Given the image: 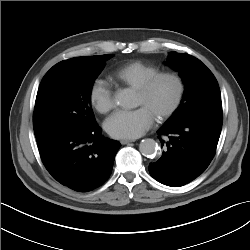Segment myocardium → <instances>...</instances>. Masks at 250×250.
I'll return each mask as SVG.
<instances>
[{
  "label": "myocardium",
  "mask_w": 250,
  "mask_h": 250,
  "mask_svg": "<svg viewBox=\"0 0 250 250\" xmlns=\"http://www.w3.org/2000/svg\"><path fill=\"white\" fill-rule=\"evenodd\" d=\"M163 79L171 80L175 84L176 91L170 105L157 115L156 119L158 121H163L171 117L181 105L185 94V83L183 78L175 72H158L145 80L136 89L141 96L146 97L151 92L156 83Z\"/></svg>",
  "instance_id": "obj_1"
}]
</instances>
